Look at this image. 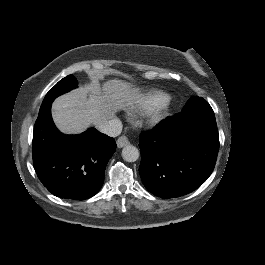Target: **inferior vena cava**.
<instances>
[{"label":"inferior vena cava","instance_id":"1","mask_svg":"<svg viewBox=\"0 0 265 265\" xmlns=\"http://www.w3.org/2000/svg\"><path fill=\"white\" fill-rule=\"evenodd\" d=\"M98 130L108 136L116 137L121 133L122 123L118 118H116L109 121L107 124L99 126Z\"/></svg>","mask_w":265,"mask_h":265}]
</instances>
